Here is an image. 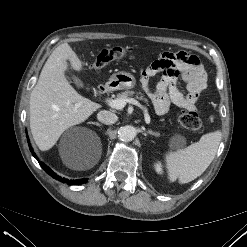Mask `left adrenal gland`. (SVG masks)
<instances>
[{
    "mask_svg": "<svg viewBox=\"0 0 247 247\" xmlns=\"http://www.w3.org/2000/svg\"><path fill=\"white\" fill-rule=\"evenodd\" d=\"M145 135H152V136H155V137H159V133L154 132L152 130H147Z\"/></svg>",
    "mask_w": 247,
    "mask_h": 247,
    "instance_id": "left-adrenal-gland-1",
    "label": "left adrenal gland"
}]
</instances>
